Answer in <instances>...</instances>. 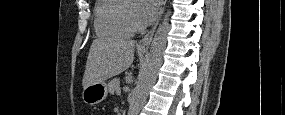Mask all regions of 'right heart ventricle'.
I'll return each instance as SVG.
<instances>
[{
  "label": "right heart ventricle",
  "mask_w": 285,
  "mask_h": 115,
  "mask_svg": "<svg viewBox=\"0 0 285 115\" xmlns=\"http://www.w3.org/2000/svg\"><path fill=\"white\" fill-rule=\"evenodd\" d=\"M123 0L97 1L94 10V28L100 37L120 38L130 36L134 31L124 20Z\"/></svg>",
  "instance_id": "e07e8e85"
}]
</instances>
